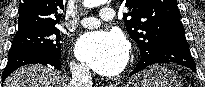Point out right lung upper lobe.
Listing matches in <instances>:
<instances>
[{
	"label": "right lung upper lobe",
	"mask_w": 205,
	"mask_h": 87,
	"mask_svg": "<svg viewBox=\"0 0 205 87\" xmlns=\"http://www.w3.org/2000/svg\"><path fill=\"white\" fill-rule=\"evenodd\" d=\"M65 3V0H24L19 5L18 32L56 28Z\"/></svg>",
	"instance_id": "obj_1"
}]
</instances>
